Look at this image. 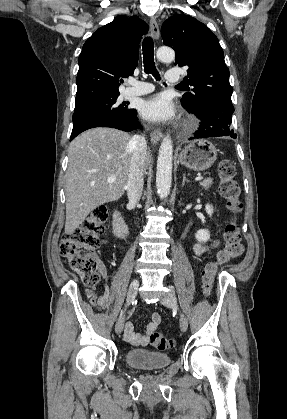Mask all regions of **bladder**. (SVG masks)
<instances>
[{
	"label": "bladder",
	"instance_id": "obj_1",
	"mask_svg": "<svg viewBox=\"0 0 287 419\" xmlns=\"http://www.w3.org/2000/svg\"><path fill=\"white\" fill-rule=\"evenodd\" d=\"M124 360L132 368L158 370L166 367L170 363L171 358L164 353L136 348L127 350Z\"/></svg>",
	"mask_w": 287,
	"mask_h": 419
}]
</instances>
